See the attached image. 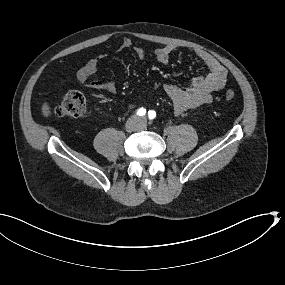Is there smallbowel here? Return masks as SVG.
<instances>
[{
	"mask_svg": "<svg viewBox=\"0 0 285 285\" xmlns=\"http://www.w3.org/2000/svg\"><path fill=\"white\" fill-rule=\"evenodd\" d=\"M132 48L140 59L153 57L163 64H167L175 47L166 45L164 47L147 51L140 46H133L129 38H124L118 49L120 51ZM196 56L203 61L208 68V73L204 76L192 78L187 88H181L176 85H164L162 89L173 103L176 114H182L187 110L211 103L213 93L222 89L227 80L226 68L211 54L202 50H195ZM100 58L90 59L78 72V81L92 90H103L110 94L117 91V85L114 81L88 80L98 69Z\"/></svg>",
	"mask_w": 285,
	"mask_h": 285,
	"instance_id": "c3829d8e",
	"label": "small bowel"
}]
</instances>
